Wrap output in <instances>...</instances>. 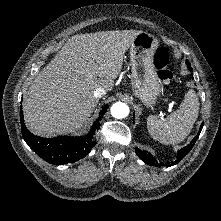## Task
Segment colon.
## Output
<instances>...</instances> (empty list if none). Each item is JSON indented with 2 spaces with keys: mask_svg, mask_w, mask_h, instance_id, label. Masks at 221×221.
<instances>
[{
  "mask_svg": "<svg viewBox=\"0 0 221 221\" xmlns=\"http://www.w3.org/2000/svg\"><path fill=\"white\" fill-rule=\"evenodd\" d=\"M154 65L158 70L157 74L161 81L168 83L172 80L173 72L170 69V54L165 47H159L156 50L154 54Z\"/></svg>",
  "mask_w": 221,
  "mask_h": 221,
  "instance_id": "colon-1",
  "label": "colon"
}]
</instances>
